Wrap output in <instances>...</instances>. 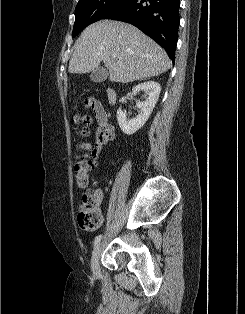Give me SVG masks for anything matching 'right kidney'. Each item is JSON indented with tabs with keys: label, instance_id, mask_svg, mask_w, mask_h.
Wrapping results in <instances>:
<instances>
[{
	"label": "right kidney",
	"instance_id": "ca27d5eb",
	"mask_svg": "<svg viewBox=\"0 0 245 314\" xmlns=\"http://www.w3.org/2000/svg\"><path fill=\"white\" fill-rule=\"evenodd\" d=\"M140 91H144L145 101L138 102L136 104L139 112L135 118H132L130 120L127 119L126 113L122 111L121 107L117 111L118 124L122 132L127 135H132L136 133L147 122L153 111V108L158 101L161 87L159 83L154 81L144 82L136 85L132 89V95H136Z\"/></svg>",
	"mask_w": 245,
	"mask_h": 314
}]
</instances>
